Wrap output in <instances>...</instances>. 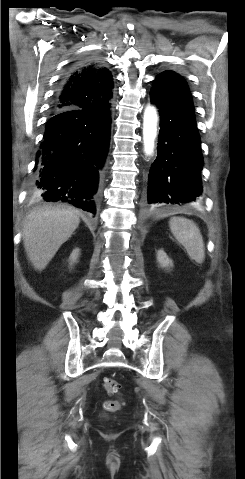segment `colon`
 <instances>
[{
	"instance_id": "5ec220e1",
	"label": "colon",
	"mask_w": 245,
	"mask_h": 479,
	"mask_svg": "<svg viewBox=\"0 0 245 479\" xmlns=\"http://www.w3.org/2000/svg\"><path fill=\"white\" fill-rule=\"evenodd\" d=\"M104 390L111 395H119L120 393V384L113 378H105L103 380ZM121 407V402L117 400L107 401L104 404V408L108 412H115Z\"/></svg>"
}]
</instances>
